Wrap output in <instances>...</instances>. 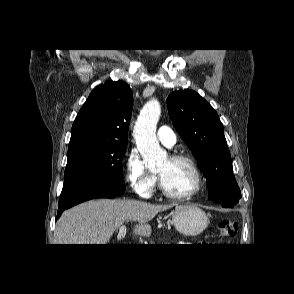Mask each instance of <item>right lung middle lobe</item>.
Masks as SVG:
<instances>
[{
    "label": "right lung middle lobe",
    "instance_id": "dd1d6c3e",
    "mask_svg": "<svg viewBox=\"0 0 294 294\" xmlns=\"http://www.w3.org/2000/svg\"><path fill=\"white\" fill-rule=\"evenodd\" d=\"M126 147L95 142L69 145L62 191L87 183L124 185L122 159Z\"/></svg>",
    "mask_w": 294,
    "mask_h": 294
}]
</instances>
